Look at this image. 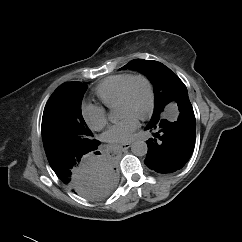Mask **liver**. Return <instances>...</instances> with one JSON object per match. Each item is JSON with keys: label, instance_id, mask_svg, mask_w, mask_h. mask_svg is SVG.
<instances>
[{"label": "liver", "instance_id": "liver-1", "mask_svg": "<svg viewBox=\"0 0 242 242\" xmlns=\"http://www.w3.org/2000/svg\"><path fill=\"white\" fill-rule=\"evenodd\" d=\"M85 186L82 187L77 193L81 196H85L90 198L89 196H98L104 187V181H98L97 178H94L91 181H88L84 184Z\"/></svg>", "mask_w": 242, "mask_h": 242}]
</instances>
